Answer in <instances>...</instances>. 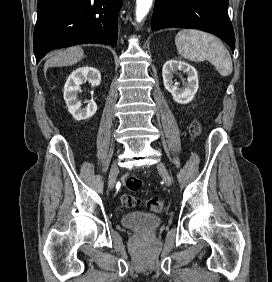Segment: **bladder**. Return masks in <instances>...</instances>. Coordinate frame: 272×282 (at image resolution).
<instances>
[{"label": "bladder", "instance_id": "obj_1", "mask_svg": "<svg viewBox=\"0 0 272 282\" xmlns=\"http://www.w3.org/2000/svg\"><path fill=\"white\" fill-rule=\"evenodd\" d=\"M121 223L137 232L149 233L162 224V218L154 214L131 212L121 217Z\"/></svg>", "mask_w": 272, "mask_h": 282}]
</instances>
